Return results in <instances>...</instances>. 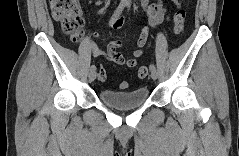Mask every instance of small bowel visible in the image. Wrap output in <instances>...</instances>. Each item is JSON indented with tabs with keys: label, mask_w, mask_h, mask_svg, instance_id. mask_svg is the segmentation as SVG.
<instances>
[{
	"label": "small bowel",
	"mask_w": 239,
	"mask_h": 156,
	"mask_svg": "<svg viewBox=\"0 0 239 156\" xmlns=\"http://www.w3.org/2000/svg\"><path fill=\"white\" fill-rule=\"evenodd\" d=\"M175 6H179L178 1H175ZM141 8L148 18V26L142 30L137 39L135 47L132 50V55L128 56L120 52L119 49L124 47V43L121 40H113L109 43L105 51L96 44H92L91 47L95 56H105L112 63L123 65L128 68L136 66L137 58L143 55V47L148 39L149 27H156L162 23L165 16L168 14V9L162 5L160 0H143L141 2ZM124 23V19L118 17L111 26L118 30L124 26Z\"/></svg>",
	"instance_id": "c3829d8e"
}]
</instances>
